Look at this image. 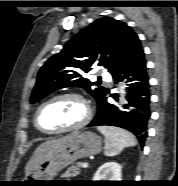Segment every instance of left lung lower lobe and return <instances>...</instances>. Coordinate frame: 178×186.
I'll return each mask as SVG.
<instances>
[{
    "label": "left lung lower lobe",
    "mask_w": 178,
    "mask_h": 186,
    "mask_svg": "<svg viewBox=\"0 0 178 186\" xmlns=\"http://www.w3.org/2000/svg\"><path fill=\"white\" fill-rule=\"evenodd\" d=\"M113 79L118 82L125 79L127 84V101L124 111H120L115 105L108 103L107 93L98 105V111L93 121L88 126H117L124 128L134 135L141 146L147 137V123L150 118V91L149 78L145 56L126 66ZM116 98L115 95H112Z\"/></svg>",
    "instance_id": "1"
}]
</instances>
